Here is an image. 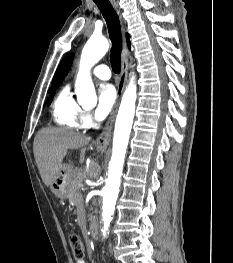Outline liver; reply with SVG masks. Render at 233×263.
I'll return each instance as SVG.
<instances>
[{
	"instance_id": "obj_1",
	"label": "liver",
	"mask_w": 233,
	"mask_h": 263,
	"mask_svg": "<svg viewBox=\"0 0 233 263\" xmlns=\"http://www.w3.org/2000/svg\"><path fill=\"white\" fill-rule=\"evenodd\" d=\"M90 140L89 136L64 128L41 129L35 137L33 150L44 184L51 186L69 149L82 148L88 145Z\"/></svg>"
}]
</instances>
